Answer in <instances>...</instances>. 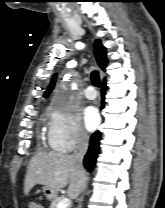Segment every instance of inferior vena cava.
<instances>
[{
    "label": "inferior vena cava",
    "mask_w": 165,
    "mask_h": 208,
    "mask_svg": "<svg viewBox=\"0 0 165 208\" xmlns=\"http://www.w3.org/2000/svg\"><path fill=\"white\" fill-rule=\"evenodd\" d=\"M89 137L85 132H80L77 140V145L74 153L71 155V159L77 164V166L83 169V158L88 150Z\"/></svg>",
    "instance_id": "obj_1"
}]
</instances>
